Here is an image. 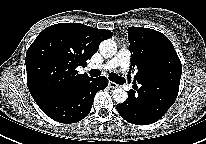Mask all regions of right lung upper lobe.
Returning a JSON list of instances; mask_svg holds the SVG:
<instances>
[{
  "mask_svg": "<svg viewBox=\"0 0 206 144\" xmlns=\"http://www.w3.org/2000/svg\"><path fill=\"white\" fill-rule=\"evenodd\" d=\"M113 33L79 23L45 28L26 54L28 89L36 103L91 79L76 68L91 59L99 44Z\"/></svg>",
  "mask_w": 206,
  "mask_h": 144,
  "instance_id": "obj_1",
  "label": "right lung upper lobe"
}]
</instances>
